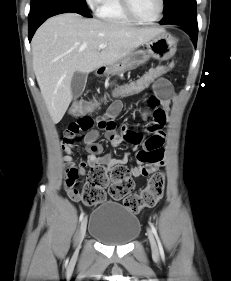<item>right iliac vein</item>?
<instances>
[{"label":"right iliac vein","instance_id":"right-iliac-vein-1","mask_svg":"<svg viewBox=\"0 0 231 281\" xmlns=\"http://www.w3.org/2000/svg\"><path fill=\"white\" fill-rule=\"evenodd\" d=\"M86 228H87V218H83L82 222H81V225H80V229H79V233H78V237H77V244H78V247L74 253V256L76 257L77 254H78V248L81 244V242L83 241L84 239V236H85V233H86Z\"/></svg>","mask_w":231,"mask_h":281}]
</instances>
